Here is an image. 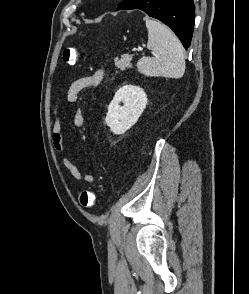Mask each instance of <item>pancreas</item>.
Returning a JSON list of instances; mask_svg holds the SVG:
<instances>
[{
    "label": "pancreas",
    "instance_id": "cf45deb5",
    "mask_svg": "<svg viewBox=\"0 0 249 294\" xmlns=\"http://www.w3.org/2000/svg\"><path fill=\"white\" fill-rule=\"evenodd\" d=\"M131 57L129 55H123L121 59H114L115 66L121 71H125L128 68H131Z\"/></svg>",
    "mask_w": 249,
    "mask_h": 294
}]
</instances>
